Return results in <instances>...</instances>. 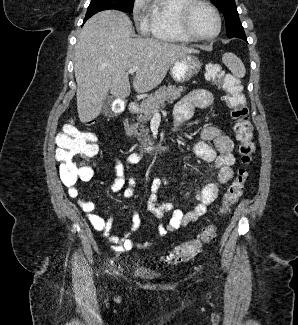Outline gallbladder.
Masks as SVG:
<instances>
[{
    "label": "gallbladder",
    "instance_id": "obj_1",
    "mask_svg": "<svg viewBox=\"0 0 298 325\" xmlns=\"http://www.w3.org/2000/svg\"><path fill=\"white\" fill-rule=\"evenodd\" d=\"M114 100V96H107V98L103 100L102 114H104V116H115L116 112L113 110Z\"/></svg>",
    "mask_w": 298,
    "mask_h": 325
}]
</instances>
